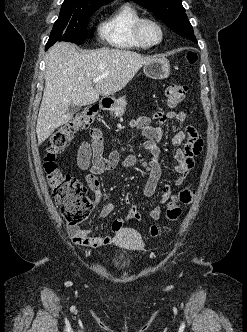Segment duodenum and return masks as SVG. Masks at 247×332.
Returning <instances> with one entry per match:
<instances>
[{"label":"duodenum","instance_id":"1","mask_svg":"<svg viewBox=\"0 0 247 332\" xmlns=\"http://www.w3.org/2000/svg\"><path fill=\"white\" fill-rule=\"evenodd\" d=\"M110 105H111V101H110V100H108V99H103V100H101V101L99 102V104H98V108H99L100 110H107V109L110 107Z\"/></svg>","mask_w":247,"mask_h":332}]
</instances>
